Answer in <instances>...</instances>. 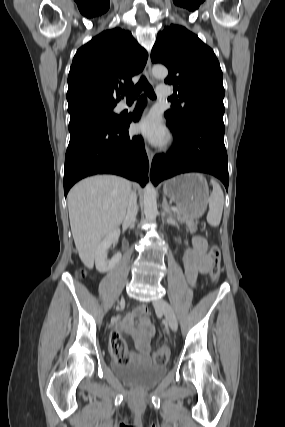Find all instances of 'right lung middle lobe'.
<instances>
[{"instance_id": "right-lung-middle-lobe-1", "label": "right lung middle lobe", "mask_w": 285, "mask_h": 427, "mask_svg": "<svg viewBox=\"0 0 285 427\" xmlns=\"http://www.w3.org/2000/svg\"><path fill=\"white\" fill-rule=\"evenodd\" d=\"M115 105L116 104L89 106L70 114L69 130L71 131L77 125L89 120H102L110 124L120 122L122 116L113 113Z\"/></svg>"}]
</instances>
